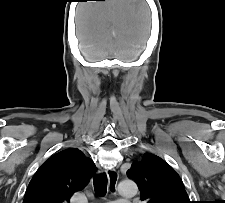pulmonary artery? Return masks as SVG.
Instances as JSON below:
<instances>
[{
	"label": "pulmonary artery",
	"mask_w": 225,
	"mask_h": 203,
	"mask_svg": "<svg viewBox=\"0 0 225 203\" xmlns=\"http://www.w3.org/2000/svg\"><path fill=\"white\" fill-rule=\"evenodd\" d=\"M110 203H129L128 201L122 200V201H115V202H110Z\"/></svg>",
	"instance_id": "e3ab8cb5"
}]
</instances>
